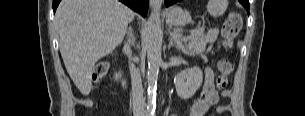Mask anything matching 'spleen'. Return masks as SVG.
<instances>
[{"mask_svg":"<svg viewBox=\"0 0 305 116\" xmlns=\"http://www.w3.org/2000/svg\"><path fill=\"white\" fill-rule=\"evenodd\" d=\"M227 3L224 0H210L207 5L208 12L213 17H219L226 11Z\"/></svg>","mask_w":305,"mask_h":116,"instance_id":"3e777b00","label":"spleen"}]
</instances>
